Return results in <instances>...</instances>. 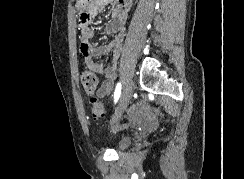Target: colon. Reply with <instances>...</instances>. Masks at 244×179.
Wrapping results in <instances>:
<instances>
[{"instance_id":"obj_1","label":"colon","mask_w":244,"mask_h":179,"mask_svg":"<svg viewBox=\"0 0 244 179\" xmlns=\"http://www.w3.org/2000/svg\"><path fill=\"white\" fill-rule=\"evenodd\" d=\"M81 82L85 93L89 94L94 93L96 91L99 79L95 72L89 69H84L81 72ZM136 106L139 107V110H148L149 102H147L146 98H143L142 102L136 103ZM89 108L93 119L99 120L104 117L105 105L101 99L97 97L89 98Z\"/></svg>"}]
</instances>
